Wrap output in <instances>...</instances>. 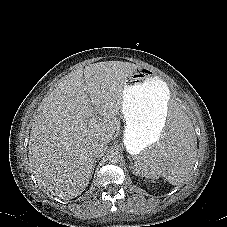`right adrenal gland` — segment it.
<instances>
[{"label":"right adrenal gland","mask_w":227,"mask_h":227,"mask_svg":"<svg viewBox=\"0 0 227 227\" xmlns=\"http://www.w3.org/2000/svg\"><path fill=\"white\" fill-rule=\"evenodd\" d=\"M97 160H99V159H97ZM97 160H95V163H94V168H95V165H96Z\"/></svg>","instance_id":"obj_1"}]
</instances>
